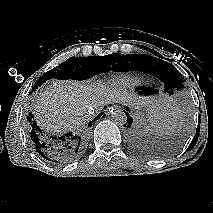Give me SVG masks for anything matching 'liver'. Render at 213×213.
<instances>
[{
  "label": "liver",
  "mask_w": 213,
  "mask_h": 213,
  "mask_svg": "<svg viewBox=\"0 0 213 213\" xmlns=\"http://www.w3.org/2000/svg\"><path fill=\"white\" fill-rule=\"evenodd\" d=\"M110 99H118L135 107L147 100L120 93L113 94L101 86H90L77 81H54L37 94L34 111L43 129L61 134L89 121L87 110L90 107L101 109ZM154 107L161 108L158 104Z\"/></svg>",
  "instance_id": "obj_1"
}]
</instances>
